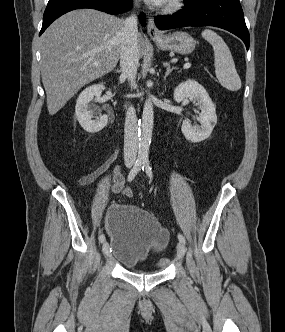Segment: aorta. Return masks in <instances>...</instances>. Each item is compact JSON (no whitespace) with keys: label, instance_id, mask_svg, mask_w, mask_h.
<instances>
[{"label":"aorta","instance_id":"obj_1","mask_svg":"<svg viewBox=\"0 0 285 332\" xmlns=\"http://www.w3.org/2000/svg\"><path fill=\"white\" fill-rule=\"evenodd\" d=\"M153 104L151 99L145 101L142 114L141 132L139 138V158L143 160L148 159L149 147L152 138L153 129Z\"/></svg>","mask_w":285,"mask_h":332}]
</instances>
